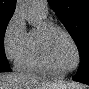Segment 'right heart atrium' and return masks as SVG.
Wrapping results in <instances>:
<instances>
[{"label":"right heart atrium","mask_w":89,"mask_h":89,"mask_svg":"<svg viewBox=\"0 0 89 89\" xmlns=\"http://www.w3.org/2000/svg\"><path fill=\"white\" fill-rule=\"evenodd\" d=\"M28 39V32L23 17L14 13L5 29L3 43L7 58L11 61L17 60L23 53Z\"/></svg>","instance_id":"obj_1"}]
</instances>
